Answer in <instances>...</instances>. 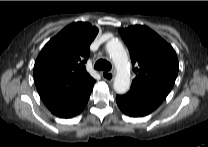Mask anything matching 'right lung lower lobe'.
<instances>
[{
    "mask_svg": "<svg viewBox=\"0 0 208 147\" xmlns=\"http://www.w3.org/2000/svg\"><path fill=\"white\" fill-rule=\"evenodd\" d=\"M92 88L86 91L83 95H81L76 100L70 103H67L65 105L58 106V107L51 109V112L55 114L56 116L62 117V118H71V117L78 115L86 107Z\"/></svg>",
    "mask_w": 208,
    "mask_h": 147,
    "instance_id": "obj_1",
    "label": "right lung lower lobe"
}]
</instances>
